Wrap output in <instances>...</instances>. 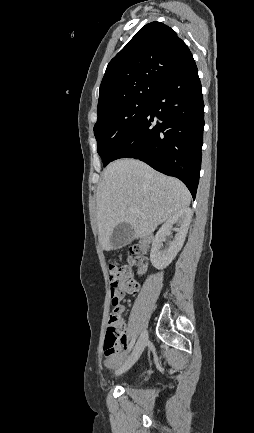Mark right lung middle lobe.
Returning <instances> with one entry per match:
<instances>
[{"instance_id":"dd1d6c3e","label":"right lung middle lobe","mask_w":254,"mask_h":433,"mask_svg":"<svg viewBox=\"0 0 254 433\" xmlns=\"http://www.w3.org/2000/svg\"><path fill=\"white\" fill-rule=\"evenodd\" d=\"M150 101L151 99H130L97 111L94 134L104 167L112 161L117 148L145 114Z\"/></svg>"}]
</instances>
